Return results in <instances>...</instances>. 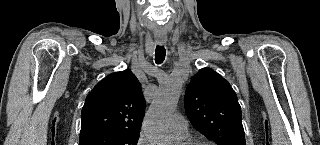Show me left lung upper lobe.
Listing matches in <instances>:
<instances>
[{"label": "left lung upper lobe", "instance_id": "obj_1", "mask_svg": "<svg viewBox=\"0 0 320 145\" xmlns=\"http://www.w3.org/2000/svg\"><path fill=\"white\" fill-rule=\"evenodd\" d=\"M184 103L193 127L205 137L217 145H246L237 96L220 74L200 69L186 89Z\"/></svg>", "mask_w": 320, "mask_h": 145}]
</instances>
